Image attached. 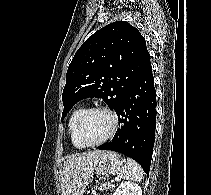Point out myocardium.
Wrapping results in <instances>:
<instances>
[{
	"mask_svg": "<svg viewBox=\"0 0 211 195\" xmlns=\"http://www.w3.org/2000/svg\"><path fill=\"white\" fill-rule=\"evenodd\" d=\"M94 111H102V112L107 113L112 119V126H111V129L108 132V134L103 139H101L98 142L88 143V142H85L82 138L81 126H82V123H83L85 117L89 113L94 112ZM118 127H119V118H118L117 113L113 109L106 107V106H92V107L85 109L79 116V118L77 120V124H76V136H77L78 140L80 141V143L84 147H98V146L103 145L107 141H109L116 133Z\"/></svg>",
	"mask_w": 211,
	"mask_h": 195,
	"instance_id": "myocardium-1",
	"label": "myocardium"
}]
</instances>
